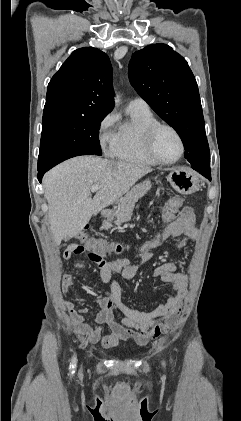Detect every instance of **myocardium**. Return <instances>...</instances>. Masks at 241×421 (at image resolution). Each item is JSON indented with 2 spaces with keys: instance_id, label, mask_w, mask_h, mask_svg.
Wrapping results in <instances>:
<instances>
[{
  "instance_id": "f54148a6",
  "label": "myocardium",
  "mask_w": 241,
  "mask_h": 421,
  "mask_svg": "<svg viewBox=\"0 0 241 421\" xmlns=\"http://www.w3.org/2000/svg\"><path fill=\"white\" fill-rule=\"evenodd\" d=\"M161 129H168L171 132H173L175 134V136L177 137L179 144H180V153L179 155L170 161H166L161 159L156 150H155V138L157 133L161 130ZM144 144H145V149L147 151V153L150 155V157L156 161L158 164L161 165H172L177 163L184 155L185 153V143L183 140V137L181 136L180 132L172 125L167 124V123H156L154 125H152L145 133V138H144Z\"/></svg>"
}]
</instances>
